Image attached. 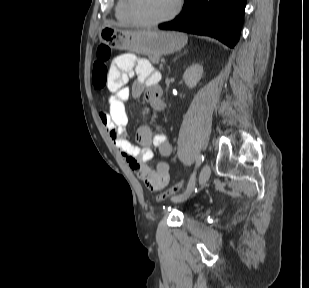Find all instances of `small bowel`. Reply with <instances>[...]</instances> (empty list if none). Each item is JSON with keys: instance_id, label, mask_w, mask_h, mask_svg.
I'll return each instance as SVG.
<instances>
[{"instance_id": "c3829d8e", "label": "small bowel", "mask_w": 309, "mask_h": 288, "mask_svg": "<svg viewBox=\"0 0 309 288\" xmlns=\"http://www.w3.org/2000/svg\"><path fill=\"white\" fill-rule=\"evenodd\" d=\"M133 76L137 80L130 88L128 81ZM157 79L158 73L147 59L131 53L116 57L109 75L108 89L111 95L107 99V111L100 114L101 122L116 148L151 191H159L168 184L170 165L165 158L172 155L173 145L164 131L148 126L136 130L134 138L137 144H134L126 132L128 117L125 103L130 97L144 95L149 107H143L142 114L147 115L150 110L163 111L165 103ZM153 148L159 155L154 165L150 163L154 158Z\"/></svg>"}]
</instances>
